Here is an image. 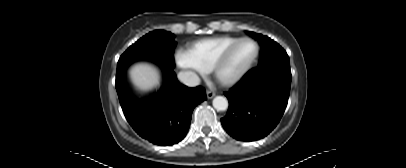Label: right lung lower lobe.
<instances>
[{
	"mask_svg": "<svg viewBox=\"0 0 406 168\" xmlns=\"http://www.w3.org/2000/svg\"><path fill=\"white\" fill-rule=\"evenodd\" d=\"M160 86L139 93L127 75L116 77V90L124 115L142 138L160 146L181 141L188 132L195 106L206 100L204 88L180 83L174 68L162 67Z\"/></svg>",
	"mask_w": 406,
	"mask_h": 168,
	"instance_id": "obj_1",
	"label": "right lung lower lobe"
}]
</instances>
